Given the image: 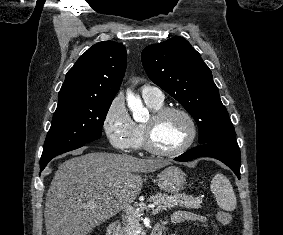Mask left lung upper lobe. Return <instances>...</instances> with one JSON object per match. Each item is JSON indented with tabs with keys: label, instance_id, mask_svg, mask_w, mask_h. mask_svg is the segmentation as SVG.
<instances>
[{
	"label": "left lung upper lobe",
	"instance_id": "5c2ea615",
	"mask_svg": "<svg viewBox=\"0 0 283 235\" xmlns=\"http://www.w3.org/2000/svg\"><path fill=\"white\" fill-rule=\"evenodd\" d=\"M149 78L179 101L199 127V143L235 140L209 67L182 37L147 46L141 55Z\"/></svg>",
	"mask_w": 283,
	"mask_h": 235
}]
</instances>
